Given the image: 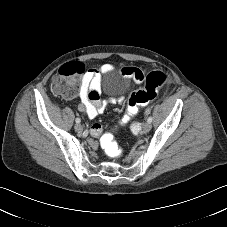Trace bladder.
Returning a JSON list of instances; mask_svg holds the SVG:
<instances>
[{
    "mask_svg": "<svg viewBox=\"0 0 227 227\" xmlns=\"http://www.w3.org/2000/svg\"><path fill=\"white\" fill-rule=\"evenodd\" d=\"M107 82L109 84H116L118 86V93L122 94L124 92V87L120 84V81L115 78H108Z\"/></svg>",
    "mask_w": 227,
    "mask_h": 227,
    "instance_id": "31cf9c89",
    "label": "bladder"
}]
</instances>
